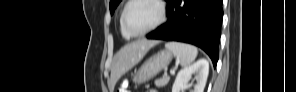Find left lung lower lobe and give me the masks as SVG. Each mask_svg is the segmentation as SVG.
<instances>
[{"mask_svg": "<svg viewBox=\"0 0 296 92\" xmlns=\"http://www.w3.org/2000/svg\"><path fill=\"white\" fill-rule=\"evenodd\" d=\"M168 5V21L146 37L198 46L210 56L215 67L219 57L222 0H169Z\"/></svg>", "mask_w": 296, "mask_h": 92, "instance_id": "obj_1", "label": "left lung lower lobe"}]
</instances>
